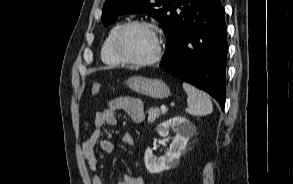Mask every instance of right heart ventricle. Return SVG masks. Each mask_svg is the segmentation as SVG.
<instances>
[{"label":"right heart ventricle","mask_w":293,"mask_h":184,"mask_svg":"<svg viewBox=\"0 0 293 184\" xmlns=\"http://www.w3.org/2000/svg\"><path fill=\"white\" fill-rule=\"evenodd\" d=\"M123 23H117L114 25L110 31L108 32L107 36L105 37L102 46H101V59L103 63L109 66H117L121 64L120 60L114 55L112 50V40L116 33V31L121 27Z\"/></svg>","instance_id":"1"}]
</instances>
